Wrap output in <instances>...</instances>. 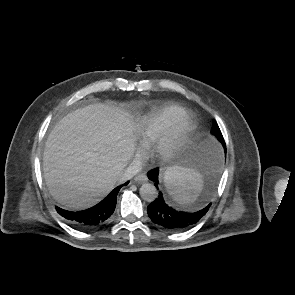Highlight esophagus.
<instances>
[{
    "label": "esophagus",
    "instance_id": "esophagus-1",
    "mask_svg": "<svg viewBox=\"0 0 295 295\" xmlns=\"http://www.w3.org/2000/svg\"><path fill=\"white\" fill-rule=\"evenodd\" d=\"M137 183H143L148 180L147 175L145 173H141L137 175L134 179Z\"/></svg>",
    "mask_w": 295,
    "mask_h": 295
}]
</instances>
